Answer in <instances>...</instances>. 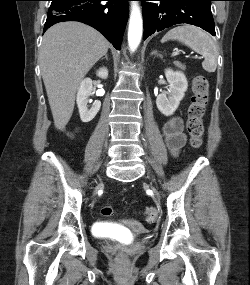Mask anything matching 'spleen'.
<instances>
[{
  "instance_id": "3e777b00",
  "label": "spleen",
  "mask_w": 250,
  "mask_h": 285,
  "mask_svg": "<svg viewBox=\"0 0 250 285\" xmlns=\"http://www.w3.org/2000/svg\"><path fill=\"white\" fill-rule=\"evenodd\" d=\"M177 40L204 57L202 67L212 73L217 68L218 50L208 33L195 26H178L168 31L161 42Z\"/></svg>"
}]
</instances>
